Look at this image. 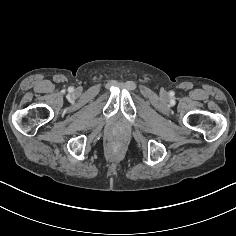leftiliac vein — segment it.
Wrapping results in <instances>:
<instances>
[{"label": "left iliac vein", "mask_w": 236, "mask_h": 236, "mask_svg": "<svg viewBox=\"0 0 236 236\" xmlns=\"http://www.w3.org/2000/svg\"><path fill=\"white\" fill-rule=\"evenodd\" d=\"M160 96L161 97H166L167 96V92L165 90H161L160 91Z\"/></svg>", "instance_id": "1"}]
</instances>
